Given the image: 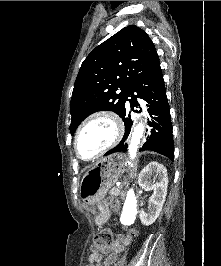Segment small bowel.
<instances>
[{
	"label": "small bowel",
	"instance_id": "small-bowel-1",
	"mask_svg": "<svg viewBox=\"0 0 221 266\" xmlns=\"http://www.w3.org/2000/svg\"><path fill=\"white\" fill-rule=\"evenodd\" d=\"M131 241L129 235H120L117 238V242L114 245L107 246L99 253H92L89 255L88 263L85 266H114L117 261L118 255L124 250ZM106 254V258L103 259L102 255Z\"/></svg>",
	"mask_w": 221,
	"mask_h": 266
}]
</instances>
